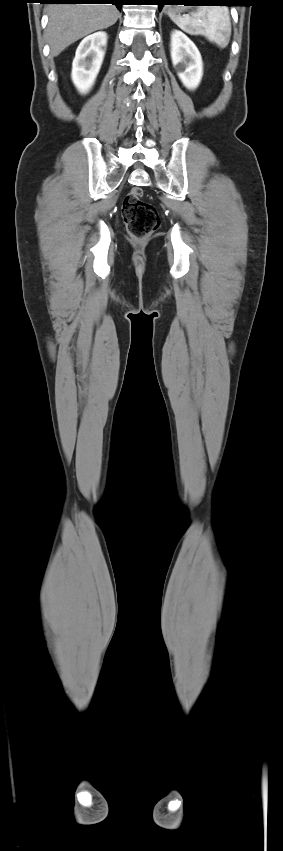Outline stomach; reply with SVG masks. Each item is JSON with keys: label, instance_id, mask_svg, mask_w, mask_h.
Instances as JSON below:
<instances>
[{"label": "stomach", "instance_id": "obj_1", "mask_svg": "<svg viewBox=\"0 0 283 851\" xmlns=\"http://www.w3.org/2000/svg\"><path fill=\"white\" fill-rule=\"evenodd\" d=\"M183 9H184V7H182V6H176V7H170V8L168 7L166 9V11L169 13V11L171 10V11H175L177 13V12L182 11Z\"/></svg>", "mask_w": 283, "mask_h": 851}]
</instances>
